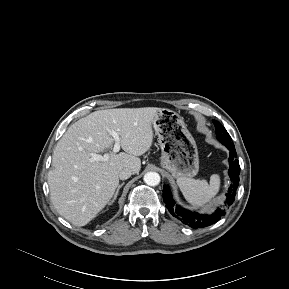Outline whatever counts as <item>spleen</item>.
Instances as JSON below:
<instances>
[{
	"instance_id": "obj_1",
	"label": "spleen",
	"mask_w": 289,
	"mask_h": 289,
	"mask_svg": "<svg viewBox=\"0 0 289 289\" xmlns=\"http://www.w3.org/2000/svg\"><path fill=\"white\" fill-rule=\"evenodd\" d=\"M177 184L185 199L194 207H200L218 193L220 176L211 175L209 183L204 179L179 178Z\"/></svg>"
}]
</instances>
